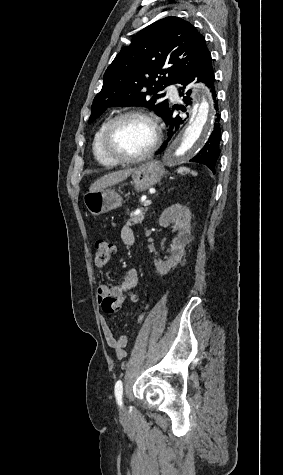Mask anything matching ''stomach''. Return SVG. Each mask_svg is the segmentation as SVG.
Masks as SVG:
<instances>
[{
    "mask_svg": "<svg viewBox=\"0 0 283 475\" xmlns=\"http://www.w3.org/2000/svg\"><path fill=\"white\" fill-rule=\"evenodd\" d=\"M163 174L164 172L160 166V162H157V160H151V162L141 164V166L135 168L131 174L135 190H137V192H144V190L152 188V186L160 182ZM83 200L90 214L99 216V214H106V212H110V210H115V208L122 206L123 198H121L115 190L104 188V190L94 192V194H89L88 192V194H85Z\"/></svg>",
    "mask_w": 283,
    "mask_h": 475,
    "instance_id": "stomach-1",
    "label": "stomach"
}]
</instances>
